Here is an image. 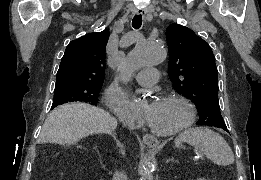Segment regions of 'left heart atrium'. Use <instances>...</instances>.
<instances>
[{
  "mask_svg": "<svg viewBox=\"0 0 261 180\" xmlns=\"http://www.w3.org/2000/svg\"><path fill=\"white\" fill-rule=\"evenodd\" d=\"M156 104L157 101L147 102L145 105L142 106L141 109L137 110V112L134 113V116L145 121L155 108Z\"/></svg>",
  "mask_w": 261,
  "mask_h": 180,
  "instance_id": "1",
  "label": "left heart atrium"
}]
</instances>
